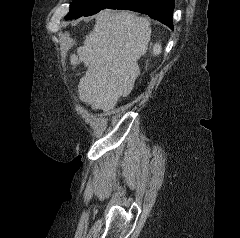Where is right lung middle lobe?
Wrapping results in <instances>:
<instances>
[{
    "label": "right lung middle lobe",
    "mask_w": 240,
    "mask_h": 238,
    "mask_svg": "<svg viewBox=\"0 0 240 238\" xmlns=\"http://www.w3.org/2000/svg\"><path fill=\"white\" fill-rule=\"evenodd\" d=\"M117 0H73L70 11L65 19H76L81 16H90L102 9L109 8Z\"/></svg>",
    "instance_id": "right-lung-middle-lobe-1"
}]
</instances>
